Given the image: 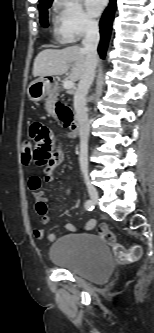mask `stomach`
Instances as JSON below:
<instances>
[{
    "label": "stomach",
    "mask_w": 154,
    "mask_h": 333,
    "mask_svg": "<svg viewBox=\"0 0 154 333\" xmlns=\"http://www.w3.org/2000/svg\"><path fill=\"white\" fill-rule=\"evenodd\" d=\"M51 85L48 79L40 77L30 83L27 95L31 101L38 102L49 95Z\"/></svg>",
    "instance_id": "obj_1"
}]
</instances>
